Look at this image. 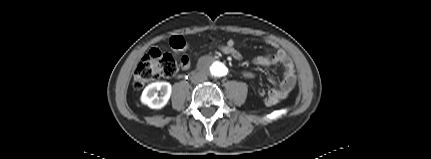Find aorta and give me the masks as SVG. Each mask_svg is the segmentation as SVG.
Here are the masks:
<instances>
[{
    "label": "aorta",
    "mask_w": 431,
    "mask_h": 159,
    "mask_svg": "<svg viewBox=\"0 0 431 159\" xmlns=\"http://www.w3.org/2000/svg\"><path fill=\"white\" fill-rule=\"evenodd\" d=\"M227 68L221 62L214 61L207 65V72L214 77H221L226 74Z\"/></svg>",
    "instance_id": "obj_1"
}]
</instances>
